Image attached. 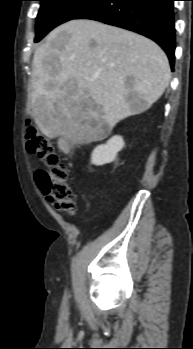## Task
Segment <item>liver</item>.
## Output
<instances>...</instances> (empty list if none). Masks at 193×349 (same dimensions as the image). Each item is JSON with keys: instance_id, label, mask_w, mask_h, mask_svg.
Returning <instances> with one entry per match:
<instances>
[{"instance_id": "obj_1", "label": "liver", "mask_w": 193, "mask_h": 349, "mask_svg": "<svg viewBox=\"0 0 193 349\" xmlns=\"http://www.w3.org/2000/svg\"><path fill=\"white\" fill-rule=\"evenodd\" d=\"M170 78L166 54L150 39L97 21L71 20L35 50L31 115L69 153L148 110Z\"/></svg>"}]
</instances>
